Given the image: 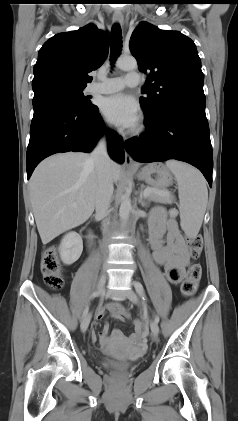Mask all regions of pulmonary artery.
I'll list each match as a JSON object with an SVG mask.
<instances>
[{
  "mask_svg": "<svg viewBox=\"0 0 238 421\" xmlns=\"http://www.w3.org/2000/svg\"><path fill=\"white\" fill-rule=\"evenodd\" d=\"M140 83V74L129 72L124 77L104 78L100 82L90 85L92 93H113L122 90L125 86L134 87Z\"/></svg>",
  "mask_w": 238,
  "mask_h": 421,
  "instance_id": "pulmonary-artery-1",
  "label": "pulmonary artery"
}]
</instances>
